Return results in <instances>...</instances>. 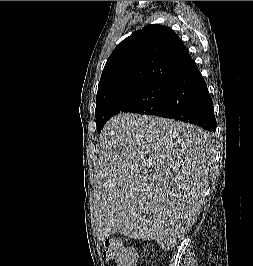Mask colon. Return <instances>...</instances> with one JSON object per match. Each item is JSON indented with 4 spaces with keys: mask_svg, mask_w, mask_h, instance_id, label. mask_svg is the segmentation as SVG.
<instances>
[{
    "mask_svg": "<svg viewBox=\"0 0 253 266\" xmlns=\"http://www.w3.org/2000/svg\"><path fill=\"white\" fill-rule=\"evenodd\" d=\"M104 257L115 266H136L134 253L113 238L104 244Z\"/></svg>",
    "mask_w": 253,
    "mask_h": 266,
    "instance_id": "obj_1",
    "label": "colon"
}]
</instances>
